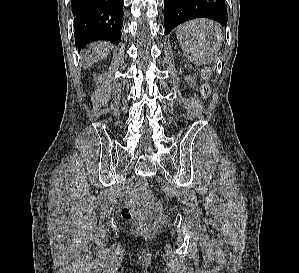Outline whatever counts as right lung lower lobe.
Instances as JSON below:
<instances>
[{"label": "right lung lower lobe", "mask_w": 299, "mask_h": 273, "mask_svg": "<svg viewBox=\"0 0 299 273\" xmlns=\"http://www.w3.org/2000/svg\"><path fill=\"white\" fill-rule=\"evenodd\" d=\"M72 11L79 49L97 40L120 43L123 0H72Z\"/></svg>", "instance_id": "right-lung-lower-lobe-1"}]
</instances>
